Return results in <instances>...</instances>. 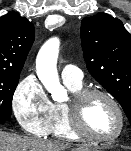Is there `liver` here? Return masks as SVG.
<instances>
[{"label": "liver", "instance_id": "6515ba94", "mask_svg": "<svg viewBox=\"0 0 131 151\" xmlns=\"http://www.w3.org/2000/svg\"><path fill=\"white\" fill-rule=\"evenodd\" d=\"M70 146L59 142H50L26 136H17L0 131V151H64ZM74 151H86L75 148Z\"/></svg>", "mask_w": 131, "mask_h": 151}]
</instances>
